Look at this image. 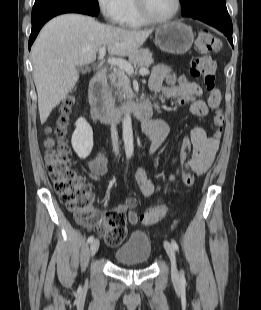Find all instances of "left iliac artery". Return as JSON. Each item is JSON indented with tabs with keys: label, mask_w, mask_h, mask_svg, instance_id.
Segmentation results:
<instances>
[{
	"label": "left iliac artery",
	"mask_w": 261,
	"mask_h": 310,
	"mask_svg": "<svg viewBox=\"0 0 261 310\" xmlns=\"http://www.w3.org/2000/svg\"><path fill=\"white\" fill-rule=\"evenodd\" d=\"M171 245H172V247H173L176 251H178V244H177L174 240L171 241ZM180 281H181V283H185V282H186L185 276H184V272H183V271H181V274H180Z\"/></svg>",
	"instance_id": "1"
}]
</instances>
